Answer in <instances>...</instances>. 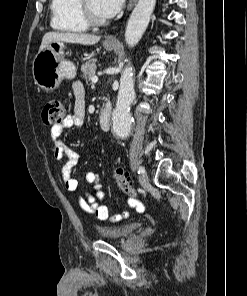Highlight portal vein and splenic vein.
<instances>
[{
	"instance_id": "obj_1",
	"label": "portal vein and splenic vein",
	"mask_w": 247,
	"mask_h": 296,
	"mask_svg": "<svg viewBox=\"0 0 247 296\" xmlns=\"http://www.w3.org/2000/svg\"><path fill=\"white\" fill-rule=\"evenodd\" d=\"M91 81L93 83H96L98 81V77L97 76H93L92 79H91Z\"/></svg>"
}]
</instances>
